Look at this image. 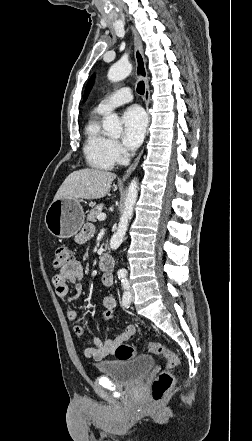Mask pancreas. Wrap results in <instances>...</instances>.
Returning a JSON list of instances; mask_svg holds the SVG:
<instances>
[{"instance_id": "cf45deb5", "label": "pancreas", "mask_w": 252, "mask_h": 441, "mask_svg": "<svg viewBox=\"0 0 252 441\" xmlns=\"http://www.w3.org/2000/svg\"><path fill=\"white\" fill-rule=\"evenodd\" d=\"M102 210H103V205L100 204V205L95 206L88 214L87 220L92 221V222H96V218L100 213H102Z\"/></svg>"}]
</instances>
